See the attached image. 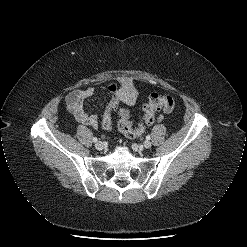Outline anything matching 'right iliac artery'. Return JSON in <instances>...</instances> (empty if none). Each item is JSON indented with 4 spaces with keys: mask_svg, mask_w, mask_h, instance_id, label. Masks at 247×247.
<instances>
[{
    "mask_svg": "<svg viewBox=\"0 0 247 247\" xmlns=\"http://www.w3.org/2000/svg\"><path fill=\"white\" fill-rule=\"evenodd\" d=\"M92 140H93V142H97L98 141V139L96 137H94Z\"/></svg>",
    "mask_w": 247,
    "mask_h": 247,
    "instance_id": "82829eb1",
    "label": "right iliac artery"
}]
</instances>
